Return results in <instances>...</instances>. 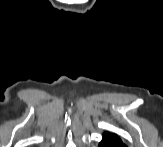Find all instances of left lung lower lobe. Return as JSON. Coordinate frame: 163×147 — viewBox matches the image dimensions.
<instances>
[{"label": "left lung lower lobe", "mask_w": 163, "mask_h": 147, "mask_svg": "<svg viewBox=\"0 0 163 147\" xmlns=\"http://www.w3.org/2000/svg\"><path fill=\"white\" fill-rule=\"evenodd\" d=\"M99 147H126L121 139L111 133H104L103 134V139L99 144Z\"/></svg>", "instance_id": "0a47b994"}]
</instances>
